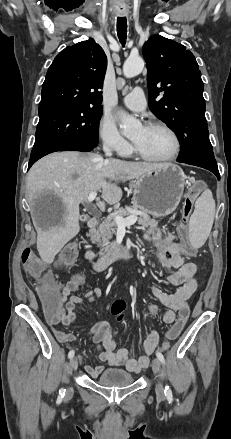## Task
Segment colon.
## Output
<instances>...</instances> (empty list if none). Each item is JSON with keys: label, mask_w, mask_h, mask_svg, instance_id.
I'll return each mask as SVG.
<instances>
[{"label": "colon", "mask_w": 231, "mask_h": 439, "mask_svg": "<svg viewBox=\"0 0 231 439\" xmlns=\"http://www.w3.org/2000/svg\"><path fill=\"white\" fill-rule=\"evenodd\" d=\"M193 196L194 194L185 200L181 210L182 223L179 227V235L183 242L184 250L179 251L178 256L183 260L197 258V251L189 243L188 232L185 226L193 209ZM78 246V241L73 240L69 245L62 249L58 256V265L60 267H70L76 262L78 257ZM32 251V246H25L22 255L23 265L32 276L37 278L35 289L38 291L37 297L39 299V304L45 309V319L57 320L59 315L55 309L59 306L61 301V287L51 273L43 271L41 260ZM125 307L126 305L124 301H115L111 308L112 314L117 317V319H122ZM190 313V309L187 308V306H178L177 320L166 333V338L168 340H174L178 337L184 324L188 322Z\"/></svg>", "instance_id": "5ec220e1"}]
</instances>
